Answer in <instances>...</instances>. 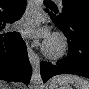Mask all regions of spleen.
Returning <instances> with one entry per match:
<instances>
[{"mask_svg":"<svg viewBox=\"0 0 89 89\" xmlns=\"http://www.w3.org/2000/svg\"><path fill=\"white\" fill-rule=\"evenodd\" d=\"M57 81H62L68 85H73L75 89H89V81L75 75H64L56 78Z\"/></svg>","mask_w":89,"mask_h":89,"instance_id":"3e777b00","label":"spleen"}]
</instances>
